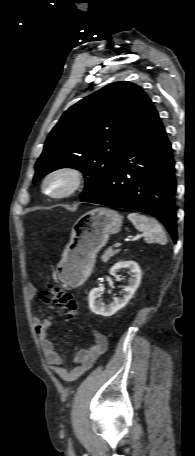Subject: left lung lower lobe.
I'll use <instances>...</instances> for the list:
<instances>
[{
  "mask_svg": "<svg viewBox=\"0 0 195 456\" xmlns=\"http://www.w3.org/2000/svg\"><path fill=\"white\" fill-rule=\"evenodd\" d=\"M175 191L171 144L152 106L131 133L101 187L81 201L152 215L176 242Z\"/></svg>",
  "mask_w": 195,
  "mask_h": 456,
  "instance_id": "left-lung-lower-lobe-1",
  "label": "left lung lower lobe"
}]
</instances>
